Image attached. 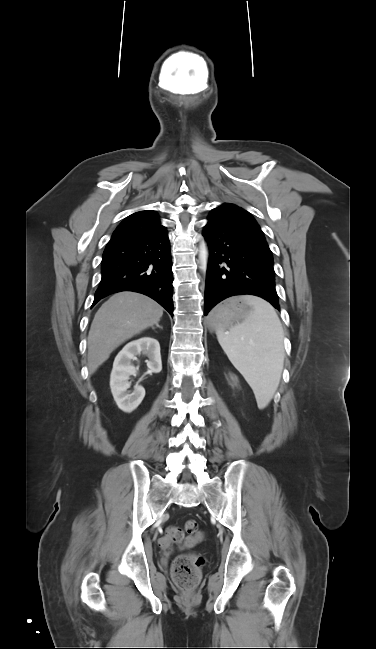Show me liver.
<instances>
[{
  "mask_svg": "<svg viewBox=\"0 0 376 649\" xmlns=\"http://www.w3.org/2000/svg\"><path fill=\"white\" fill-rule=\"evenodd\" d=\"M163 308L151 298L124 291L111 296L94 316L88 335V368L93 374L123 342L157 324Z\"/></svg>",
  "mask_w": 376,
  "mask_h": 649,
  "instance_id": "6515ba94",
  "label": "liver"
}]
</instances>
